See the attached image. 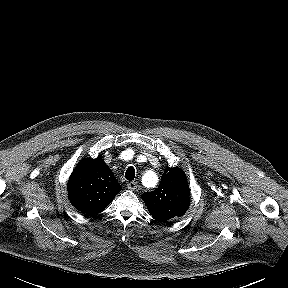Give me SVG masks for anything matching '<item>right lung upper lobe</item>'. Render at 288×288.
Segmentation results:
<instances>
[{
    "label": "right lung upper lobe",
    "mask_w": 288,
    "mask_h": 288,
    "mask_svg": "<svg viewBox=\"0 0 288 288\" xmlns=\"http://www.w3.org/2000/svg\"><path fill=\"white\" fill-rule=\"evenodd\" d=\"M120 191V184L101 157L82 159L68 182L71 204L87 215L103 211Z\"/></svg>",
    "instance_id": "1"
}]
</instances>
